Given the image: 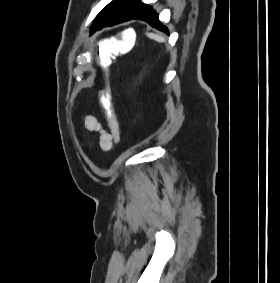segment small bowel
Listing matches in <instances>:
<instances>
[{
	"mask_svg": "<svg viewBox=\"0 0 280 283\" xmlns=\"http://www.w3.org/2000/svg\"><path fill=\"white\" fill-rule=\"evenodd\" d=\"M84 124L88 131L97 135L99 146L103 151L111 150L112 147L114 146V143L117 142L114 137L113 125L109 121H108L109 131H107L102 125V123L92 115H86L84 117ZM116 126L119 129L118 122H116Z\"/></svg>",
	"mask_w": 280,
	"mask_h": 283,
	"instance_id": "small-bowel-1",
	"label": "small bowel"
}]
</instances>
